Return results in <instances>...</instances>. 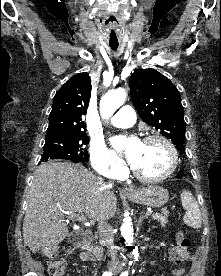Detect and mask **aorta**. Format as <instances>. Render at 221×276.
Segmentation results:
<instances>
[{
    "label": "aorta",
    "mask_w": 221,
    "mask_h": 276,
    "mask_svg": "<svg viewBox=\"0 0 221 276\" xmlns=\"http://www.w3.org/2000/svg\"><path fill=\"white\" fill-rule=\"evenodd\" d=\"M126 99V91L124 89H117L114 91H109L106 93L100 101V114L104 119H109L113 113L123 105ZM121 233L127 244H132L133 242V227L129 219H124L121 226ZM133 255L135 259H138L139 253L138 249L133 250Z\"/></svg>",
    "instance_id": "obj_1"
}]
</instances>
